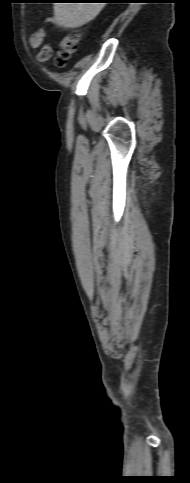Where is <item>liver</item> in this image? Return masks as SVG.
<instances>
[{
  "instance_id": "1",
  "label": "liver",
  "mask_w": 190,
  "mask_h": 483,
  "mask_svg": "<svg viewBox=\"0 0 190 483\" xmlns=\"http://www.w3.org/2000/svg\"><path fill=\"white\" fill-rule=\"evenodd\" d=\"M104 3H54V17L60 26L78 28L93 20Z\"/></svg>"
}]
</instances>
